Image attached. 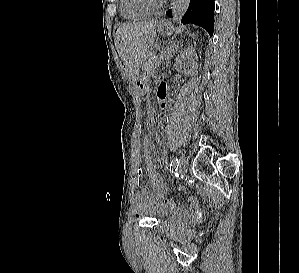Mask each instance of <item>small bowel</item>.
Masks as SVG:
<instances>
[{
    "label": "small bowel",
    "mask_w": 299,
    "mask_h": 273,
    "mask_svg": "<svg viewBox=\"0 0 299 273\" xmlns=\"http://www.w3.org/2000/svg\"><path fill=\"white\" fill-rule=\"evenodd\" d=\"M158 101L159 105L164 104L166 107V86L163 84L158 89ZM143 160L146 165V175L148 176L151 188L155 192V196L144 189L140 190L135 197L136 211L139 212L145 208H153L164 216H171L176 219L189 218L190 215L186 209L176 204L168 206L162 201L166 195V187L159 173V164L152 158L150 146L143 148Z\"/></svg>",
    "instance_id": "1"
}]
</instances>
